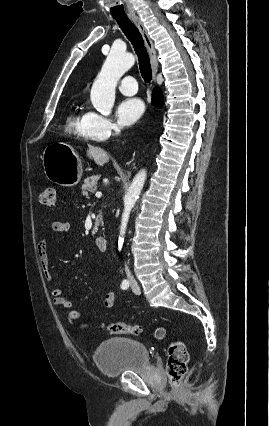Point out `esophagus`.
Returning <instances> with one entry per match:
<instances>
[{
	"label": "esophagus",
	"mask_w": 269,
	"mask_h": 426,
	"mask_svg": "<svg viewBox=\"0 0 269 426\" xmlns=\"http://www.w3.org/2000/svg\"><path fill=\"white\" fill-rule=\"evenodd\" d=\"M132 20L134 21V23L136 24V26L138 27L145 45L148 49L149 55H150V60H151V66H152V72H153V82L156 81V74L158 71V61H157V54H156V50L154 47V44L147 32V29L145 27V25L143 24V22L141 21V19L138 16H132Z\"/></svg>",
	"instance_id": "esophagus-1"
}]
</instances>
